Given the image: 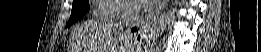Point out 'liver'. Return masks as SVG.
<instances>
[{
    "instance_id": "obj_1",
    "label": "liver",
    "mask_w": 261,
    "mask_h": 52,
    "mask_svg": "<svg viewBox=\"0 0 261 52\" xmlns=\"http://www.w3.org/2000/svg\"><path fill=\"white\" fill-rule=\"evenodd\" d=\"M84 28L85 30L82 33L85 42L84 47L87 52H107L105 50H108L106 46L110 40H118L122 48L120 50H125L122 52H130L131 50L129 43L126 48L122 46L126 35L122 33L119 27H115L111 23L103 21L93 22L86 24Z\"/></svg>"
}]
</instances>
